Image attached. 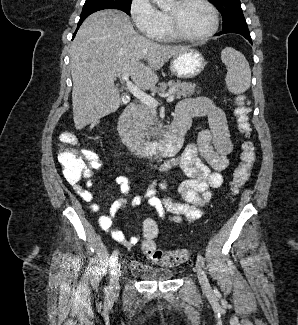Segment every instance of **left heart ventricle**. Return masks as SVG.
Wrapping results in <instances>:
<instances>
[{"instance_id": "1", "label": "left heart ventricle", "mask_w": 298, "mask_h": 325, "mask_svg": "<svg viewBox=\"0 0 298 325\" xmlns=\"http://www.w3.org/2000/svg\"><path fill=\"white\" fill-rule=\"evenodd\" d=\"M168 5L166 1L163 3ZM177 25L182 33L189 37L205 34L211 27V17L204 6L190 1L173 8Z\"/></svg>"}]
</instances>
